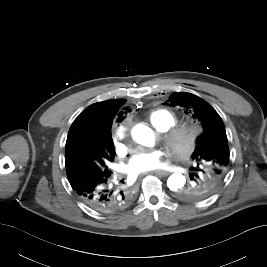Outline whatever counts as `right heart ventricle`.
<instances>
[{"mask_svg": "<svg viewBox=\"0 0 267 267\" xmlns=\"http://www.w3.org/2000/svg\"><path fill=\"white\" fill-rule=\"evenodd\" d=\"M149 122L161 132L172 128L178 122L177 116L170 110L157 109L149 113Z\"/></svg>", "mask_w": 267, "mask_h": 267, "instance_id": "right-heart-ventricle-1", "label": "right heart ventricle"}]
</instances>
